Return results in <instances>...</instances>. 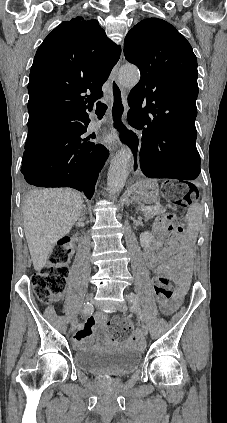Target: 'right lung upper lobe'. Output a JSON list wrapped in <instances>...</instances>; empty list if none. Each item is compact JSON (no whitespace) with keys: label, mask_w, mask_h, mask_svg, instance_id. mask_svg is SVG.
Returning <instances> with one entry per match:
<instances>
[{"label":"right lung upper lobe","mask_w":227,"mask_h":423,"mask_svg":"<svg viewBox=\"0 0 227 423\" xmlns=\"http://www.w3.org/2000/svg\"><path fill=\"white\" fill-rule=\"evenodd\" d=\"M121 54L95 19L76 17L58 25L39 46L30 71L28 111L93 107ZM91 93L87 95L86 93ZM71 114L28 120L25 149L41 144L76 122Z\"/></svg>","instance_id":"right-lung-upper-lobe-1"}]
</instances>
